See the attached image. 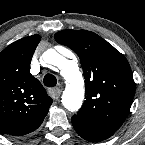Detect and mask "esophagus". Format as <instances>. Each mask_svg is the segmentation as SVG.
Here are the masks:
<instances>
[{
  "mask_svg": "<svg viewBox=\"0 0 145 145\" xmlns=\"http://www.w3.org/2000/svg\"><path fill=\"white\" fill-rule=\"evenodd\" d=\"M49 93L54 100H58L61 96L62 88L51 89Z\"/></svg>",
  "mask_w": 145,
  "mask_h": 145,
  "instance_id": "esophagus-1",
  "label": "esophagus"
}]
</instances>
